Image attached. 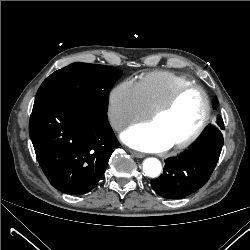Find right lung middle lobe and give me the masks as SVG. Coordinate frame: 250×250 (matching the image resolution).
<instances>
[{
    "mask_svg": "<svg viewBox=\"0 0 250 250\" xmlns=\"http://www.w3.org/2000/svg\"><path fill=\"white\" fill-rule=\"evenodd\" d=\"M121 75V70L112 67L73 63L46 78L35 99L64 95L107 111L109 91Z\"/></svg>",
    "mask_w": 250,
    "mask_h": 250,
    "instance_id": "right-lung-middle-lobe-1",
    "label": "right lung middle lobe"
}]
</instances>
